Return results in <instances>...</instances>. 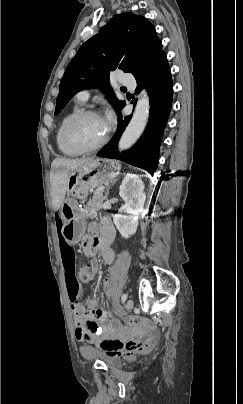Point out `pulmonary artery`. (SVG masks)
I'll list each match as a JSON object with an SVG mask.
<instances>
[{"label":"pulmonary artery","instance_id":"1","mask_svg":"<svg viewBox=\"0 0 243 404\" xmlns=\"http://www.w3.org/2000/svg\"><path fill=\"white\" fill-rule=\"evenodd\" d=\"M89 97H90V91L87 90V89H84V90L80 91V92L77 94V99H78L80 102H82V103L87 102L88 99H89Z\"/></svg>","mask_w":243,"mask_h":404}]
</instances>
